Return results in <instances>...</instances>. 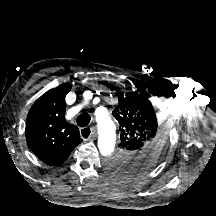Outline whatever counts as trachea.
<instances>
[{
    "instance_id": "obj_1",
    "label": "trachea",
    "mask_w": 216,
    "mask_h": 216,
    "mask_svg": "<svg viewBox=\"0 0 216 216\" xmlns=\"http://www.w3.org/2000/svg\"><path fill=\"white\" fill-rule=\"evenodd\" d=\"M91 120V116L87 113H82L77 117V124L80 127H86ZM89 136V132L84 134V137L87 138Z\"/></svg>"
}]
</instances>
